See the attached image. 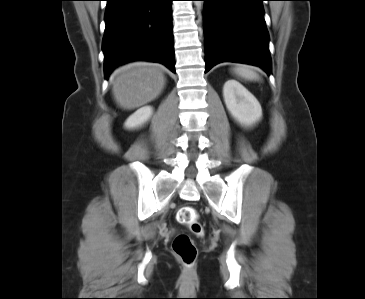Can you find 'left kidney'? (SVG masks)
<instances>
[{"mask_svg":"<svg viewBox=\"0 0 365 299\" xmlns=\"http://www.w3.org/2000/svg\"><path fill=\"white\" fill-rule=\"evenodd\" d=\"M226 107L232 117L243 126H252L262 118L257 99L239 82L228 80L223 87Z\"/></svg>","mask_w":365,"mask_h":299,"instance_id":"obj_1","label":"left kidney"}]
</instances>
